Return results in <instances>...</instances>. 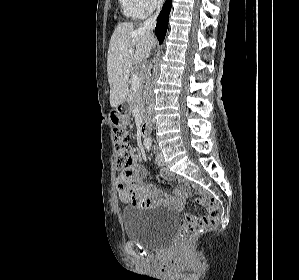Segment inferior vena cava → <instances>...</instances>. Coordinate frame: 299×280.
<instances>
[{
    "instance_id": "1",
    "label": "inferior vena cava",
    "mask_w": 299,
    "mask_h": 280,
    "mask_svg": "<svg viewBox=\"0 0 299 280\" xmlns=\"http://www.w3.org/2000/svg\"><path fill=\"white\" fill-rule=\"evenodd\" d=\"M162 4H163V0H158L157 1V11L156 13L148 18L145 22H144V25H143V28L149 32H151L155 26H156V19H157V16L161 10V7H162ZM148 113L151 114L152 113V106L150 105L149 108H148Z\"/></svg>"
}]
</instances>
